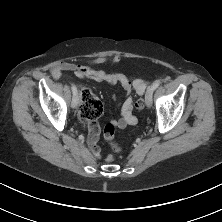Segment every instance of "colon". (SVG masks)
I'll return each instance as SVG.
<instances>
[{
	"mask_svg": "<svg viewBox=\"0 0 222 222\" xmlns=\"http://www.w3.org/2000/svg\"><path fill=\"white\" fill-rule=\"evenodd\" d=\"M82 105L80 108L79 116L82 123H87L90 119L98 118L102 113V103L96 97L91 90L88 88H83L81 90ZM137 109L141 110L144 107V102L139 99L136 103ZM105 138L110 142L114 151H119L120 147L114 142V126L109 123L104 129ZM114 159L113 155L107 157L108 161Z\"/></svg>",
	"mask_w": 222,
	"mask_h": 222,
	"instance_id": "colon-1",
	"label": "colon"
}]
</instances>
